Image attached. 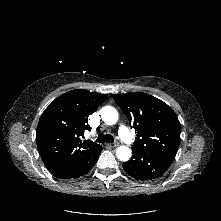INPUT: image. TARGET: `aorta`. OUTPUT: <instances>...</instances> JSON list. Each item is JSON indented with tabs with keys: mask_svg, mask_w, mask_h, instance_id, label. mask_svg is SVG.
<instances>
[{
	"mask_svg": "<svg viewBox=\"0 0 221 221\" xmlns=\"http://www.w3.org/2000/svg\"><path fill=\"white\" fill-rule=\"evenodd\" d=\"M102 120L107 125H114L118 121V112L112 106H105L100 110ZM116 156L121 161H128L131 157V150L127 146H120L116 150Z\"/></svg>",
	"mask_w": 221,
	"mask_h": 221,
	"instance_id": "1",
	"label": "aorta"
}]
</instances>
